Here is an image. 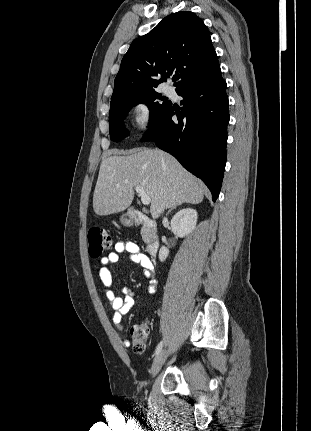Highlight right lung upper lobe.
<instances>
[{"instance_id":"right-lung-upper-lobe-1","label":"right lung upper lobe","mask_w":311,"mask_h":431,"mask_svg":"<svg viewBox=\"0 0 311 431\" xmlns=\"http://www.w3.org/2000/svg\"><path fill=\"white\" fill-rule=\"evenodd\" d=\"M219 68L203 21L192 12H177L131 43L121 61L111 99L155 91L173 73L178 90Z\"/></svg>"}]
</instances>
